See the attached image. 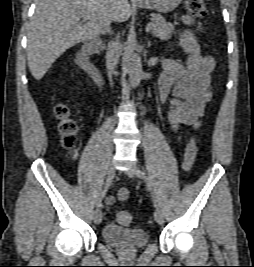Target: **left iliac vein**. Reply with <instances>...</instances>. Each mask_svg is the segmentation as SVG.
<instances>
[{
  "instance_id": "left-iliac-vein-1",
  "label": "left iliac vein",
  "mask_w": 254,
  "mask_h": 267,
  "mask_svg": "<svg viewBox=\"0 0 254 267\" xmlns=\"http://www.w3.org/2000/svg\"><path fill=\"white\" fill-rule=\"evenodd\" d=\"M126 174L131 178L136 177V168L132 167V168L128 169L126 171ZM154 218H155V221L158 224H163L164 223V215H163L162 210L159 207H156V209H155Z\"/></svg>"
}]
</instances>
